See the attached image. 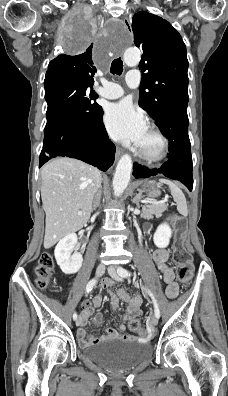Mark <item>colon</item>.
I'll return each mask as SVG.
<instances>
[{"mask_svg": "<svg viewBox=\"0 0 228 396\" xmlns=\"http://www.w3.org/2000/svg\"><path fill=\"white\" fill-rule=\"evenodd\" d=\"M171 222L175 232L173 260L177 266V276L181 282L187 283L191 280L194 271L190 246L186 238L187 223L180 216H172ZM53 269L54 258L52 254L43 252L35 267V281L39 288H46L49 285ZM129 327L135 333L145 334L141 322L136 319L130 320Z\"/></svg>", "mask_w": 228, "mask_h": 396, "instance_id": "1", "label": "colon"}]
</instances>
